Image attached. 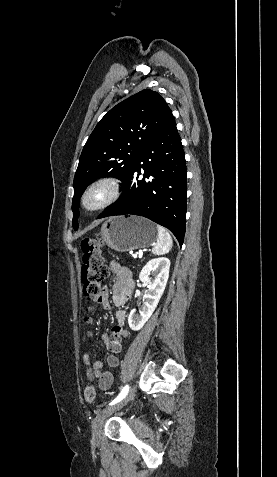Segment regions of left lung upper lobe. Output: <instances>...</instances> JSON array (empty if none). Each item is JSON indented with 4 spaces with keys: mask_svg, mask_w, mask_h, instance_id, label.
<instances>
[{
    "mask_svg": "<svg viewBox=\"0 0 277 477\" xmlns=\"http://www.w3.org/2000/svg\"><path fill=\"white\" fill-rule=\"evenodd\" d=\"M172 118L165 100L150 89L134 94L106 113L89 136L75 173L72 201L75 230L80 197L86 187L101 177H115L124 182L140 151Z\"/></svg>",
    "mask_w": 277,
    "mask_h": 477,
    "instance_id": "obj_1",
    "label": "left lung upper lobe"
}]
</instances>
